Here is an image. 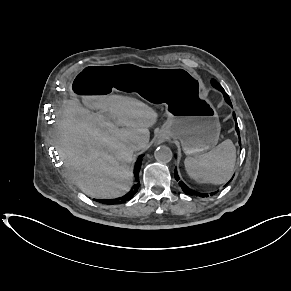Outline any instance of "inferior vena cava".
<instances>
[{
	"mask_svg": "<svg viewBox=\"0 0 291 291\" xmlns=\"http://www.w3.org/2000/svg\"><path fill=\"white\" fill-rule=\"evenodd\" d=\"M130 149H131L132 151H136V150L139 149V146L136 145V144H131V145H130Z\"/></svg>",
	"mask_w": 291,
	"mask_h": 291,
	"instance_id": "1",
	"label": "inferior vena cava"
}]
</instances>
